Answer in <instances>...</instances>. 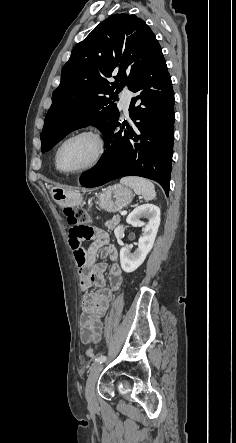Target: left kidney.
Segmentation results:
<instances>
[{"label":"left kidney","instance_id":"left-kidney-1","mask_svg":"<svg viewBox=\"0 0 236 443\" xmlns=\"http://www.w3.org/2000/svg\"><path fill=\"white\" fill-rule=\"evenodd\" d=\"M140 218L148 219V223L142 229L143 234L138 240L137 249L133 253L128 246L120 250L121 268L126 273L135 271L151 251L160 225V208L154 204L138 206L128 215L126 222L137 227L141 225Z\"/></svg>","mask_w":236,"mask_h":443}]
</instances>
